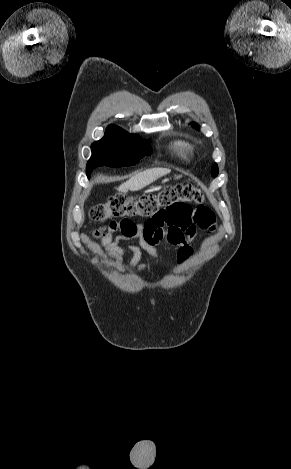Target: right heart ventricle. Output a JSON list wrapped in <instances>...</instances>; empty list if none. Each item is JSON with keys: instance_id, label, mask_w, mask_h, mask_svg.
I'll return each instance as SVG.
<instances>
[{"instance_id": "1", "label": "right heart ventricle", "mask_w": 291, "mask_h": 469, "mask_svg": "<svg viewBox=\"0 0 291 469\" xmlns=\"http://www.w3.org/2000/svg\"><path fill=\"white\" fill-rule=\"evenodd\" d=\"M171 148L179 157L188 159L192 154L193 146L190 142L184 139H176L171 143Z\"/></svg>"}]
</instances>
